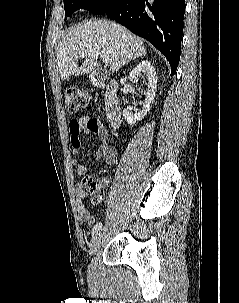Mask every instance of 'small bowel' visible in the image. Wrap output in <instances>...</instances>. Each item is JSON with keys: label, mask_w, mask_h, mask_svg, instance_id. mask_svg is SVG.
Segmentation results:
<instances>
[{"label": "small bowel", "mask_w": 239, "mask_h": 303, "mask_svg": "<svg viewBox=\"0 0 239 303\" xmlns=\"http://www.w3.org/2000/svg\"><path fill=\"white\" fill-rule=\"evenodd\" d=\"M70 133V143L74 148V165L76 172L79 176H83L87 172L86 165L79 159V149L81 148V134L86 135H97L101 144L96 153L97 160H103L106 165H113L116 162L117 151L116 148L108 143L113 141L114 137L110 135L107 128L95 117L89 115H83L78 119L71 120L68 124ZM106 185V182H103ZM85 191L81 185H77L75 188L76 207L78 217L80 221L87 223L92 226L95 223V217L85 207L84 204Z\"/></svg>", "instance_id": "1"}]
</instances>
